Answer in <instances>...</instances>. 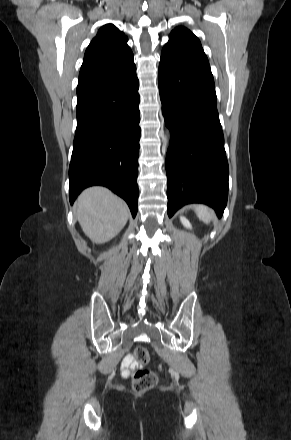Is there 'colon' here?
I'll return each mask as SVG.
<instances>
[{"label": "colon", "mask_w": 291, "mask_h": 440, "mask_svg": "<svg viewBox=\"0 0 291 440\" xmlns=\"http://www.w3.org/2000/svg\"><path fill=\"white\" fill-rule=\"evenodd\" d=\"M135 356L136 359L142 364H146L150 360L149 352L143 347H138L135 350ZM157 382L158 377L153 371L140 369L133 375L132 386L136 393H145L152 389Z\"/></svg>", "instance_id": "1"}]
</instances>
